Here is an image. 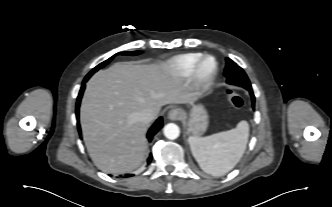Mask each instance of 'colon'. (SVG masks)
I'll use <instances>...</instances> for the list:
<instances>
[{
	"label": "colon",
	"mask_w": 332,
	"mask_h": 207,
	"mask_svg": "<svg viewBox=\"0 0 332 207\" xmlns=\"http://www.w3.org/2000/svg\"><path fill=\"white\" fill-rule=\"evenodd\" d=\"M227 98L229 103L235 108H241L244 104L242 97L232 89H227Z\"/></svg>",
	"instance_id": "colon-1"
}]
</instances>
